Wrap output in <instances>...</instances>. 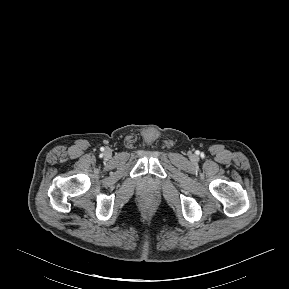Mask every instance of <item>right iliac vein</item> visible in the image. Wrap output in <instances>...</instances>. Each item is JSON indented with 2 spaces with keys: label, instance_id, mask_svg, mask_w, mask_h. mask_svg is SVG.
<instances>
[{
  "label": "right iliac vein",
  "instance_id": "63e3f726",
  "mask_svg": "<svg viewBox=\"0 0 289 289\" xmlns=\"http://www.w3.org/2000/svg\"><path fill=\"white\" fill-rule=\"evenodd\" d=\"M104 155H105L106 157H108V156H109V152L106 151V152L104 153Z\"/></svg>",
  "mask_w": 289,
  "mask_h": 289
}]
</instances>
